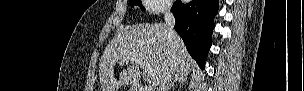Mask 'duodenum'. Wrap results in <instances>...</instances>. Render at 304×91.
Masks as SVG:
<instances>
[{"instance_id": "410a0bca", "label": "duodenum", "mask_w": 304, "mask_h": 91, "mask_svg": "<svg viewBox=\"0 0 304 91\" xmlns=\"http://www.w3.org/2000/svg\"><path fill=\"white\" fill-rule=\"evenodd\" d=\"M133 90L134 91H152L151 89L143 87L141 84L136 83L133 85Z\"/></svg>"}]
</instances>
